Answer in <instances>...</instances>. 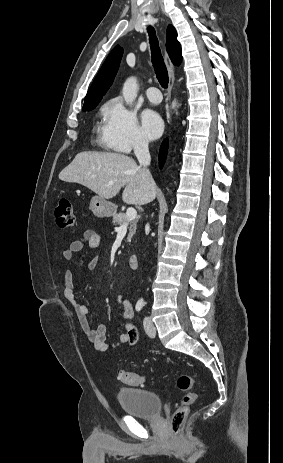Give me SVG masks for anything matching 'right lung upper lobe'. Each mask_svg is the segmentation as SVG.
<instances>
[{
	"instance_id": "obj_1",
	"label": "right lung upper lobe",
	"mask_w": 283,
	"mask_h": 463,
	"mask_svg": "<svg viewBox=\"0 0 283 463\" xmlns=\"http://www.w3.org/2000/svg\"><path fill=\"white\" fill-rule=\"evenodd\" d=\"M166 47L172 62L175 65H179L182 60L181 46L177 40V32L172 25H169L167 28ZM122 54L123 48L117 45L108 55L86 95L84 106L100 102L114 80Z\"/></svg>"
}]
</instances>
